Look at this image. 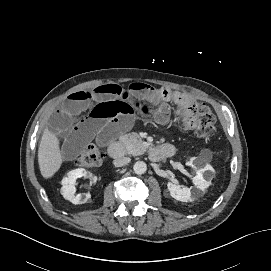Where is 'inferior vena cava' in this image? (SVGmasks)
<instances>
[{
    "instance_id": "obj_1",
    "label": "inferior vena cava",
    "mask_w": 271,
    "mask_h": 271,
    "mask_svg": "<svg viewBox=\"0 0 271 271\" xmlns=\"http://www.w3.org/2000/svg\"><path fill=\"white\" fill-rule=\"evenodd\" d=\"M130 161L131 159L129 157H122V158L115 159L113 161V164L115 167H121L123 165L128 164Z\"/></svg>"
}]
</instances>
